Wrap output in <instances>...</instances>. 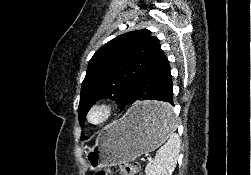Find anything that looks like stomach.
I'll use <instances>...</instances> for the list:
<instances>
[{
    "instance_id": "stomach-1",
    "label": "stomach",
    "mask_w": 251,
    "mask_h": 175,
    "mask_svg": "<svg viewBox=\"0 0 251 175\" xmlns=\"http://www.w3.org/2000/svg\"><path fill=\"white\" fill-rule=\"evenodd\" d=\"M156 111H172V106H160V100H138L121 119L105 125L94 145L87 147L91 171L132 161L162 145L166 134H176V129H161L175 128L173 114Z\"/></svg>"
}]
</instances>
